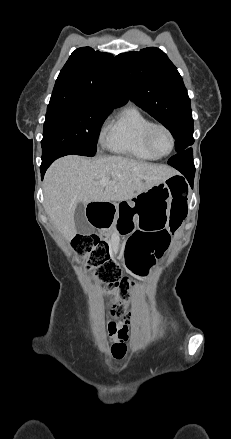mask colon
Listing matches in <instances>:
<instances>
[{
  "mask_svg": "<svg viewBox=\"0 0 231 439\" xmlns=\"http://www.w3.org/2000/svg\"><path fill=\"white\" fill-rule=\"evenodd\" d=\"M169 187L174 197L170 228L177 230L187 214L189 189L186 183L180 179L170 180ZM144 230H148V227L145 226ZM143 240L144 237L142 235L136 234L129 241L132 245L133 253L136 256L140 254V245ZM73 248L81 258L86 259L88 270L105 283L108 292L111 293L119 290L124 295H127L134 288V280L130 277L121 276L118 265L111 257L108 243L100 239L97 235H78L73 241ZM133 267L139 275L144 274V271L140 267ZM111 311L114 315L121 316L122 305L119 302H114L111 306Z\"/></svg>",
  "mask_w": 231,
  "mask_h": 439,
  "instance_id": "5ec220e1",
  "label": "colon"
}]
</instances>
